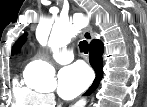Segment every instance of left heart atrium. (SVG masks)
Listing matches in <instances>:
<instances>
[{
    "instance_id": "obj_1",
    "label": "left heart atrium",
    "mask_w": 147,
    "mask_h": 107,
    "mask_svg": "<svg viewBox=\"0 0 147 107\" xmlns=\"http://www.w3.org/2000/svg\"><path fill=\"white\" fill-rule=\"evenodd\" d=\"M90 70L81 63L61 69L58 75V94L63 99H72L83 92L91 81Z\"/></svg>"
}]
</instances>
